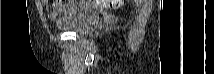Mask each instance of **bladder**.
Returning a JSON list of instances; mask_svg holds the SVG:
<instances>
[{
  "label": "bladder",
  "instance_id": "bladder-1",
  "mask_svg": "<svg viewBox=\"0 0 214 74\" xmlns=\"http://www.w3.org/2000/svg\"><path fill=\"white\" fill-rule=\"evenodd\" d=\"M101 14L88 7H74L67 10L57 22L61 29L86 34L91 32L100 21Z\"/></svg>",
  "mask_w": 214,
  "mask_h": 74
}]
</instances>
